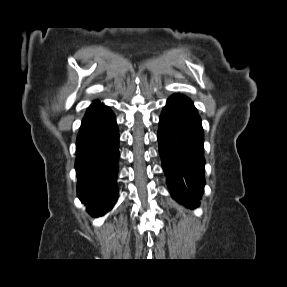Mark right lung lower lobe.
<instances>
[{
  "label": "right lung lower lobe",
  "instance_id": "right-lung-lower-lobe-1",
  "mask_svg": "<svg viewBox=\"0 0 287 287\" xmlns=\"http://www.w3.org/2000/svg\"><path fill=\"white\" fill-rule=\"evenodd\" d=\"M119 131L108 106L89 107L76 141L77 195L87 211L99 217L117 200Z\"/></svg>",
  "mask_w": 287,
  "mask_h": 287
}]
</instances>
